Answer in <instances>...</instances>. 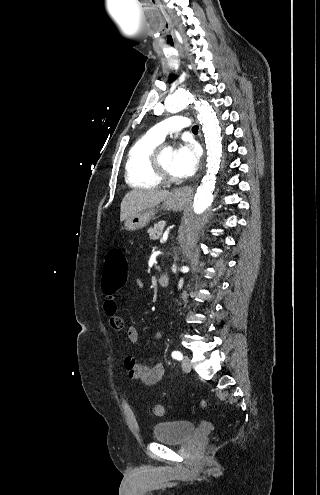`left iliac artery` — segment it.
Here are the masks:
<instances>
[{
	"instance_id": "44dca946",
	"label": "left iliac artery",
	"mask_w": 320,
	"mask_h": 495,
	"mask_svg": "<svg viewBox=\"0 0 320 495\" xmlns=\"http://www.w3.org/2000/svg\"><path fill=\"white\" fill-rule=\"evenodd\" d=\"M171 355L174 359L179 360V361L182 360V358H183L182 353L180 351L175 350L172 352Z\"/></svg>"
}]
</instances>
